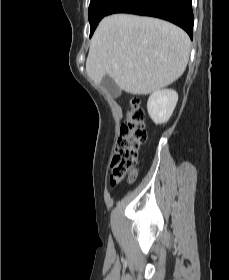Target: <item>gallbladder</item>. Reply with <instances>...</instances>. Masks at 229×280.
I'll use <instances>...</instances> for the list:
<instances>
[{
  "label": "gallbladder",
  "instance_id": "bac80fb5",
  "mask_svg": "<svg viewBox=\"0 0 229 280\" xmlns=\"http://www.w3.org/2000/svg\"><path fill=\"white\" fill-rule=\"evenodd\" d=\"M101 87H103L113 98H117L121 94V89L117 86L115 81L108 75H106L101 81Z\"/></svg>",
  "mask_w": 229,
  "mask_h": 280
}]
</instances>
